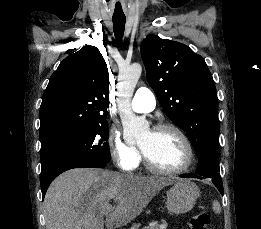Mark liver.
I'll list each match as a JSON object with an SVG mask.
<instances>
[{"instance_id":"6515ba94","label":"liver","mask_w":261,"mask_h":229,"mask_svg":"<svg viewBox=\"0 0 261 229\" xmlns=\"http://www.w3.org/2000/svg\"><path fill=\"white\" fill-rule=\"evenodd\" d=\"M171 183L164 177H132L103 169H71L57 177L45 195V227L104 229V223L124 227ZM110 199L118 201L114 211L109 205Z\"/></svg>"}]
</instances>
